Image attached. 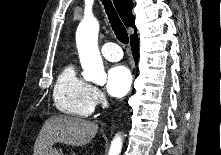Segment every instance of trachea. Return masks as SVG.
I'll return each mask as SVG.
<instances>
[{"mask_svg": "<svg viewBox=\"0 0 221 155\" xmlns=\"http://www.w3.org/2000/svg\"><path fill=\"white\" fill-rule=\"evenodd\" d=\"M101 1L105 6L106 13L108 15V19L110 21L111 27H112L117 39L123 44H128V41H129L128 33H127L124 25L120 21L117 13L113 7L111 0H101Z\"/></svg>", "mask_w": 221, "mask_h": 155, "instance_id": "3493384b", "label": "trachea"}]
</instances>
